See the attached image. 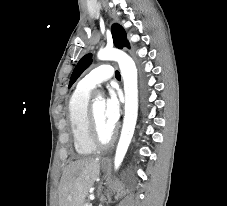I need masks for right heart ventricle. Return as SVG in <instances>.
<instances>
[{
    "mask_svg": "<svg viewBox=\"0 0 227 206\" xmlns=\"http://www.w3.org/2000/svg\"><path fill=\"white\" fill-rule=\"evenodd\" d=\"M89 105L90 91L78 86L69 99L67 117L75 151L81 156L90 155L96 149L88 133Z\"/></svg>",
    "mask_w": 227,
    "mask_h": 206,
    "instance_id": "obj_1",
    "label": "right heart ventricle"
}]
</instances>
